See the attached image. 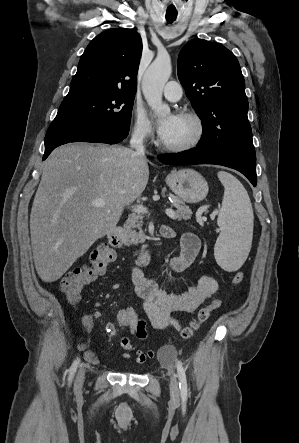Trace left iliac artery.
<instances>
[{
	"label": "left iliac artery",
	"instance_id": "1",
	"mask_svg": "<svg viewBox=\"0 0 299 443\" xmlns=\"http://www.w3.org/2000/svg\"><path fill=\"white\" fill-rule=\"evenodd\" d=\"M177 373L179 378V387L181 392V397L183 400L187 399V379L185 375V369L180 360L176 361Z\"/></svg>",
	"mask_w": 299,
	"mask_h": 443
}]
</instances>
